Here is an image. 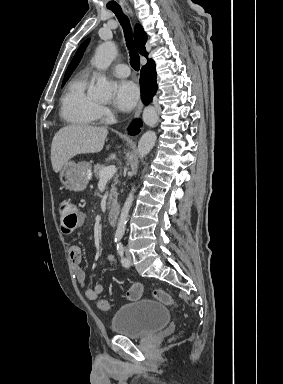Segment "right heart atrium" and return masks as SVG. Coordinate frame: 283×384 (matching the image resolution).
I'll list each match as a JSON object with an SVG mask.
<instances>
[{"mask_svg":"<svg viewBox=\"0 0 283 384\" xmlns=\"http://www.w3.org/2000/svg\"><path fill=\"white\" fill-rule=\"evenodd\" d=\"M101 116L108 117L110 115V110L106 106H101Z\"/></svg>","mask_w":283,"mask_h":384,"instance_id":"right-heart-atrium-1","label":"right heart atrium"}]
</instances>
